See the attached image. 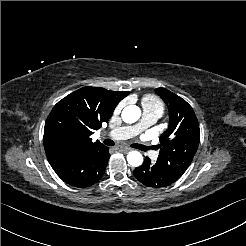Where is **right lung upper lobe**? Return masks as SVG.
<instances>
[{"mask_svg": "<svg viewBox=\"0 0 246 246\" xmlns=\"http://www.w3.org/2000/svg\"><path fill=\"white\" fill-rule=\"evenodd\" d=\"M128 94L100 87H83L60 100L45 123L43 142L46 155L104 146L99 141L92 142L90 136L102 122L110 119L117 104Z\"/></svg>", "mask_w": 246, "mask_h": 246, "instance_id": "obj_1", "label": "right lung upper lobe"}]
</instances>
